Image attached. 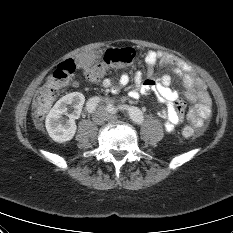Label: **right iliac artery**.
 I'll return each instance as SVG.
<instances>
[{
    "label": "right iliac artery",
    "mask_w": 233,
    "mask_h": 233,
    "mask_svg": "<svg viewBox=\"0 0 233 233\" xmlns=\"http://www.w3.org/2000/svg\"><path fill=\"white\" fill-rule=\"evenodd\" d=\"M101 101V99L99 97H92L88 100V102L86 103V110L89 113H92L96 107L98 106V103Z\"/></svg>",
    "instance_id": "82829eb1"
}]
</instances>
